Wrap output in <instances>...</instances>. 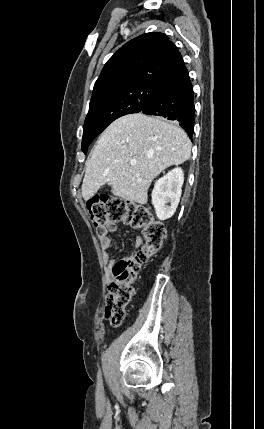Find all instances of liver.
I'll use <instances>...</instances> for the list:
<instances>
[{
	"label": "liver",
	"mask_w": 264,
	"mask_h": 429,
	"mask_svg": "<svg viewBox=\"0 0 264 429\" xmlns=\"http://www.w3.org/2000/svg\"><path fill=\"white\" fill-rule=\"evenodd\" d=\"M191 147L176 122L142 113L122 116L105 129L88 158L82 196L87 201L107 184L113 195L146 204L153 179L187 161Z\"/></svg>",
	"instance_id": "6515ba94"
}]
</instances>
